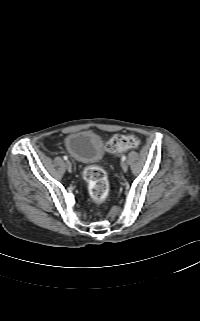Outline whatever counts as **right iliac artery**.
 <instances>
[{
	"instance_id": "obj_1",
	"label": "right iliac artery",
	"mask_w": 200,
	"mask_h": 321,
	"mask_svg": "<svg viewBox=\"0 0 200 321\" xmlns=\"http://www.w3.org/2000/svg\"><path fill=\"white\" fill-rule=\"evenodd\" d=\"M63 158H64V160H67V159H68V157H67V156H64Z\"/></svg>"
}]
</instances>
